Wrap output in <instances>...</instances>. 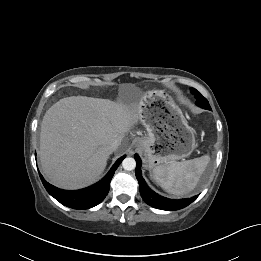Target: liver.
<instances>
[{
    "label": "liver",
    "mask_w": 261,
    "mask_h": 261,
    "mask_svg": "<svg viewBox=\"0 0 261 261\" xmlns=\"http://www.w3.org/2000/svg\"><path fill=\"white\" fill-rule=\"evenodd\" d=\"M142 103L71 96L52 105L40 132L39 156L48 181L64 189L93 183L113 152L110 143L115 139L121 143L140 120Z\"/></svg>",
    "instance_id": "1"
}]
</instances>
